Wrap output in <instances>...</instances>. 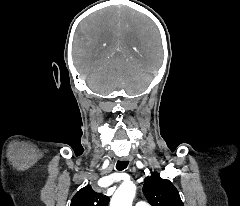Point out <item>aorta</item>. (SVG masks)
Instances as JSON below:
<instances>
[{
    "mask_svg": "<svg viewBox=\"0 0 240 206\" xmlns=\"http://www.w3.org/2000/svg\"><path fill=\"white\" fill-rule=\"evenodd\" d=\"M136 193V186L131 182H124L113 195L110 206H132Z\"/></svg>",
    "mask_w": 240,
    "mask_h": 206,
    "instance_id": "obj_1",
    "label": "aorta"
}]
</instances>
